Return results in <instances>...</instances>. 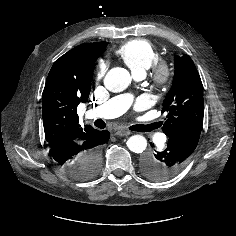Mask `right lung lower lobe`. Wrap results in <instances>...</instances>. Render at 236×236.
Wrapping results in <instances>:
<instances>
[{
    "instance_id": "1",
    "label": "right lung lower lobe",
    "mask_w": 236,
    "mask_h": 236,
    "mask_svg": "<svg viewBox=\"0 0 236 236\" xmlns=\"http://www.w3.org/2000/svg\"><path fill=\"white\" fill-rule=\"evenodd\" d=\"M110 138L107 130L96 131L82 142H68L50 147V155L71 177L79 178L88 154L99 155L100 148Z\"/></svg>"
}]
</instances>
